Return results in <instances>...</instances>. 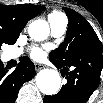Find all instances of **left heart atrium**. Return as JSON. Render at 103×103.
I'll return each mask as SVG.
<instances>
[{
  "mask_svg": "<svg viewBox=\"0 0 103 103\" xmlns=\"http://www.w3.org/2000/svg\"><path fill=\"white\" fill-rule=\"evenodd\" d=\"M31 56L36 60H40L45 56V52L42 48L35 47L31 51Z\"/></svg>",
  "mask_w": 103,
  "mask_h": 103,
  "instance_id": "obj_1",
  "label": "left heart atrium"
}]
</instances>
